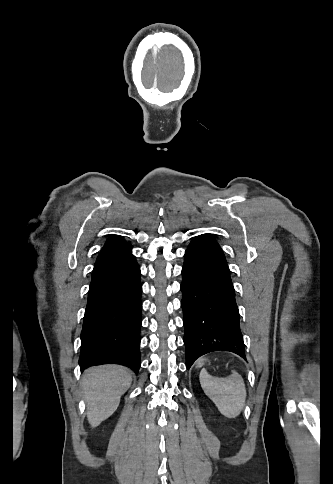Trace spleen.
I'll use <instances>...</instances> for the list:
<instances>
[{"instance_id":"3e777b00","label":"spleen","mask_w":333,"mask_h":484,"mask_svg":"<svg viewBox=\"0 0 333 484\" xmlns=\"http://www.w3.org/2000/svg\"><path fill=\"white\" fill-rule=\"evenodd\" d=\"M199 380L204 393L227 418L240 415L246 399V388L241 375L233 371L227 378L210 376L202 370Z\"/></svg>"}]
</instances>
